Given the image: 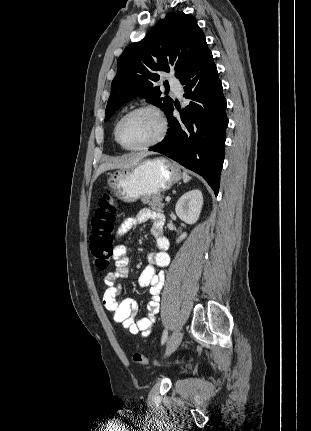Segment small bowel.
I'll list each match as a JSON object with an SVG mask.
<instances>
[{"label":"small bowel","mask_w":311,"mask_h":431,"mask_svg":"<svg viewBox=\"0 0 311 431\" xmlns=\"http://www.w3.org/2000/svg\"><path fill=\"white\" fill-rule=\"evenodd\" d=\"M146 221H152L151 234L157 246V251L148 255V265L139 277L141 287H150L151 299L147 304V315L136 320L137 303L130 298L120 299L122 286L118 281L128 277V248L125 240H120L114 248L116 269L105 275L106 290L103 296V304L112 312L114 322L121 324L130 334L141 333L143 336L153 329L160 309L164 276L157 271L168 266L170 262L169 241L163 232L164 216L157 211L142 209L136 215L126 218L117 231L118 236H123L135 225Z\"/></svg>","instance_id":"small-bowel-1"}]
</instances>
